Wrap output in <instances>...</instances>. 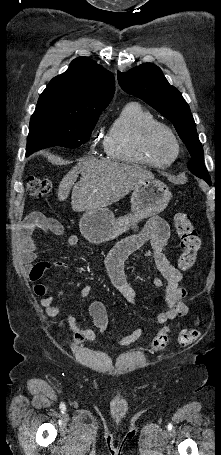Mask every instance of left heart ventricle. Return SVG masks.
<instances>
[{"mask_svg":"<svg viewBox=\"0 0 221 455\" xmlns=\"http://www.w3.org/2000/svg\"><path fill=\"white\" fill-rule=\"evenodd\" d=\"M167 147L170 151H172V145L170 143H167Z\"/></svg>","mask_w":221,"mask_h":455,"instance_id":"left-heart-ventricle-1","label":"left heart ventricle"}]
</instances>
